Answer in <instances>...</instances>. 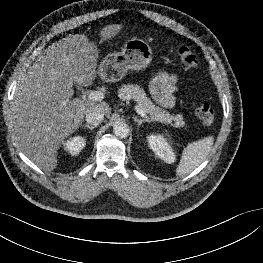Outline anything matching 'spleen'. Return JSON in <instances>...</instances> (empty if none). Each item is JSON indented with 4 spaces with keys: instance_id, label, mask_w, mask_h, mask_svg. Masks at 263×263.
Instances as JSON below:
<instances>
[{
    "instance_id": "3e777b00",
    "label": "spleen",
    "mask_w": 263,
    "mask_h": 263,
    "mask_svg": "<svg viewBox=\"0 0 263 263\" xmlns=\"http://www.w3.org/2000/svg\"><path fill=\"white\" fill-rule=\"evenodd\" d=\"M213 141L214 138L209 136L188 144L183 150L181 160L176 169V174L178 176H183L197 168L210 153Z\"/></svg>"
}]
</instances>
